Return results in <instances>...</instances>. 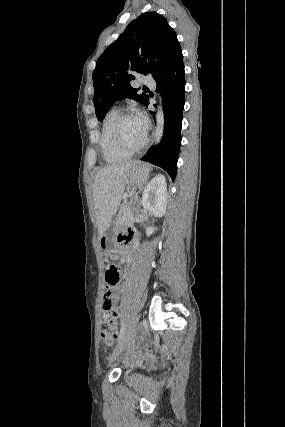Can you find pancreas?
Segmentation results:
<instances>
[{"label": "pancreas", "mask_w": 285, "mask_h": 427, "mask_svg": "<svg viewBox=\"0 0 285 427\" xmlns=\"http://www.w3.org/2000/svg\"><path fill=\"white\" fill-rule=\"evenodd\" d=\"M135 209L132 204L123 205L117 216V225H128L134 221Z\"/></svg>", "instance_id": "obj_1"}]
</instances>
